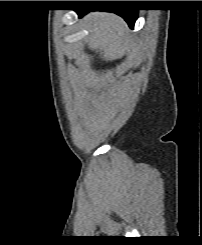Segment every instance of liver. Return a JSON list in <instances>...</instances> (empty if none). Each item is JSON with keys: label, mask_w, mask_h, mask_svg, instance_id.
Returning <instances> with one entry per match:
<instances>
[{"label": "liver", "mask_w": 202, "mask_h": 245, "mask_svg": "<svg viewBox=\"0 0 202 245\" xmlns=\"http://www.w3.org/2000/svg\"><path fill=\"white\" fill-rule=\"evenodd\" d=\"M90 28L88 45L106 61L123 56L129 46L128 26L122 18L111 13H91L86 17Z\"/></svg>", "instance_id": "1"}]
</instances>
